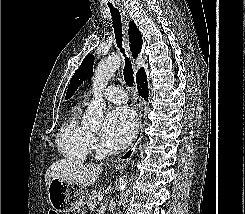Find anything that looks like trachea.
<instances>
[{
	"instance_id": "trachea-1",
	"label": "trachea",
	"mask_w": 245,
	"mask_h": 214,
	"mask_svg": "<svg viewBox=\"0 0 245 214\" xmlns=\"http://www.w3.org/2000/svg\"><path fill=\"white\" fill-rule=\"evenodd\" d=\"M109 8L111 9V16H112V24L115 33V39L118 48L123 53L125 57V66L123 69L124 80L127 86L132 87L134 83L133 77V69L129 58L125 55L124 49L122 48V23H121V15L118 9L114 8L112 4H108Z\"/></svg>"
}]
</instances>
